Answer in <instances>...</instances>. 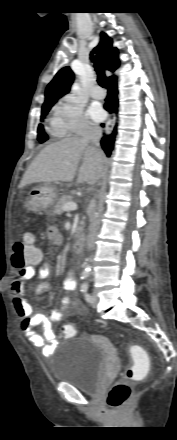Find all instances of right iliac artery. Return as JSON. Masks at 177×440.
<instances>
[{
	"label": "right iliac artery",
	"instance_id": "right-iliac-artery-1",
	"mask_svg": "<svg viewBox=\"0 0 177 440\" xmlns=\"http://www.w3.org/2000/svg\"><path fill=\"white\" fill-rule=\"evenodd\" d=\"M88 277V275L87 274H85V273H83L82 275H81V279H86Z\"/></svg>",
	"mask_w": 177,
	"mask_h": 440
}]
</instances>
